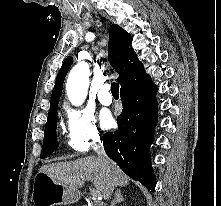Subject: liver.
I'll return each mask as SVG.
<instances>
[{"label": "liver", "mask_w": 221, "mask_h": 206, "mask_svg": "<svg viewBox=\"0 0 221 206\" xmlns=\"http://www.w3.org/2000/svg\"><path fill=\"white\" fill-rule=\"evenodd\" d=\"M39 172L75 188L81 187L86 180L93 181L96 191L102 193L105 199L110 198L112 194L109 192L110 183L114 187H123L128 185L130 180L116 163L109 160L108 165H104L98 157L44 165Z\"/></svg>", "instance_id": "6515ba94"}]
</instances>
